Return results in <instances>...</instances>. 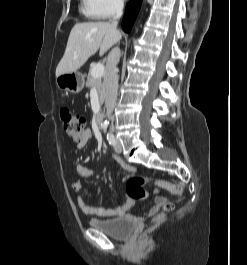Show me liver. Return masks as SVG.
I'll return each mask as SVG.
<instances>
[{
  "instance_id": "obj_1",
  "label": "liver",
  "mask_w": 247,
  "mask_h": 265,
  "mask_svg": "<svg viewBox=\"0 0 247 265\" xmlns=\"http://www.w3.org/2000/svg\"><path fill=\"white\" fill-rule=\"evenodd\" d=\"M122 35L108 22L76 23L72 28L65 53L56 68V77L75 72L100 49L104 55Z\"/></svg>"
}]
</instances>
